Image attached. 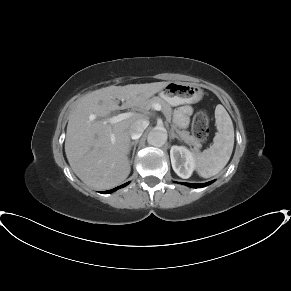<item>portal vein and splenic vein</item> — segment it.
Listing matches in <instances>:
<instances>
[{
  "mask_svg": "<svg viewBox=\"0 0 291 291\" xmlns=\"http://www.w3.org/2000/svg\"><path fill=\"white\" fill-rule=\"evenodd\" d=\"M152 107L156 111H160L162 109L161 108V105L158 104V103L153 104ZM132 115H133V113H131V112H128V113H120L117 116H113L111 118H108L107 119V122L110 123V124H115V123L121 122V121H123V120L131 117ZM114 140H115V138L112 135L111 136V141L114 142Z\"/></svg>",
  "mask_w": 291,
  "mask_h": 291,
  "instance_id": "obj_1",
  "label": "portal vein and splenic vein"
}]
</instances>
